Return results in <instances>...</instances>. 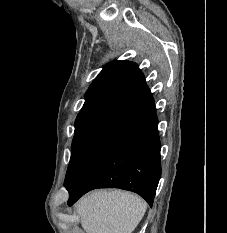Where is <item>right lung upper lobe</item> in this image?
Returning <instances> with one entry per match:
<instances>
[{
  "label": "right lung upper lobe",
  "mask_w": 227,
  "mask_h": 233,
  "mask_svg": "<svg viewBox=\"0 0 227 233\" xmlns=\"http://www.w3.org/2000/svg\"><path fill=\"white\" fill-rule=\"evenodd\" d=\"M154 115V100L138 66L114 61L103 68L87 90L75 133L119 136Z\"/></svg>",
  "instance_id": "obj_1"
}]
</instances>
